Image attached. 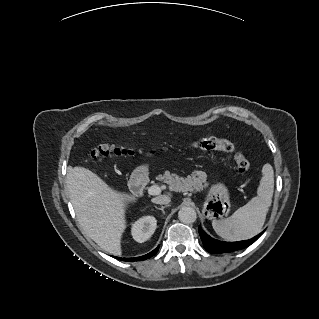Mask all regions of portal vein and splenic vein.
Returning a JSON list of instances; mask_svg holds the SVG:
<instances>
[{
    "label": "portal vein and splenic vein",
    "mask_w": 319,
    "mask_h": 319,
    "mask_svg": "<svg viewBox=\"0 0 319 319\" xmlns=\"http://www.w3.org/2000/svg\"><path fill=\"white\" fill-rule=\"evenodd\" d=\"M160 192H161V189L158 185H153V186L149 187V189H148L149 195H158V194H160Z\"/></svg>",
    "instance_id": "portal-vein-and-splenic-vein-1"
}]
</instances>
